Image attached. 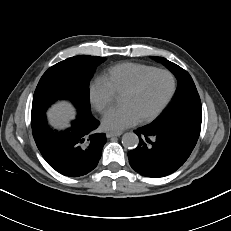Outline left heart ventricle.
<instances>
[{"instance_id":"b2bd125f","label":"left heart ventricle","mask_w":231,"mask_h":231,"mask_svg":"<svg viewBox=\"0 0 231 231\" xmlns=\"http://www.w3.org/2000/svg\"><path fill=\"white\" fill-rule=\"evenodd\" d=\"M172 82L168 75L157 73L151 76L141 88L129 95L121 97L122 105H129L139 119L151 114L165 100L171 90Z\"/></svg>"}]
</instances>
